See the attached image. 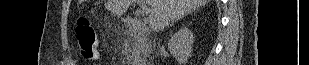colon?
Instances as JSON below:
<instances>
[{
    "label": "colon",
    "mask_w": 309,
    "mask_h": 65,
    "mask_svg": "<svg viewBox=\"0 0 309 65\" xmlns=\"http://www.w3.org/2000/svg\"><path fill=\"white\" fill-rule=\"evenodd\" d=\"M76 34L82 56L86 60H95L99 56V45L91 23L80 18L77 21Z\"/></svg>",
    "instance_id": "colon-1"
}]
</instances>
